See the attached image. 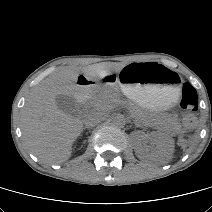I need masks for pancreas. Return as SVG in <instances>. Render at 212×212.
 <instances>
[{
  "instance_id": "cf45deb5",
  "label": "pancreas",
  "mask_w": 212,
  "mask_h": 212,
  "mask_svg": "<svg viewBox=\"0 0 212 212\" xmlns=\"http://www.w3.org/2000/svg\"><path fill=\"white\" fill-rule=\"evenodd\" d=\"M91 100L96 102L103 109H111L116 105L122 103V101L112 93H102L99 96L92 97ZM129 110L135 115L138 122L145 123L147 125H153L155 119L152 118L148 113L141 110L139 107L132 103H125Z\"/></svg>"
}]
</instances>
